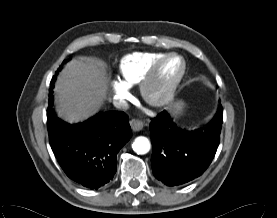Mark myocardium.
<instances>
[{"label":"myocardium","mask_w":277,"mask_h":218,"mask_svg":"<svg viewBox=\"0 0 277 218\" xmlns=\"http://www.w3.org/2000/svg\"><path fill=\"white\" fill-rule=\"evenodd\" d=\"M175 58L179 60V71L177 75L171 80V82L161 91L155 92L153 90L154 84L157 79V75L162 64ZM186 72V62L182 56L177 53H166L158 58L149 68L146 76L141 82L140 89L144 100L152 106H162L170 102L176 92V89L182 81Z\"/></svg>","instance_id":"obj_1"}]
</instances>
